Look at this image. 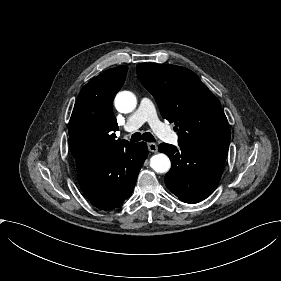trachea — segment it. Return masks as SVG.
Instances as JSON below:
<instances>
[{
	"mask_svg": "<svg viewBox=\"0 0 281 281\" xmlns=\"http://www.w3.org/2000/svg\"><path fill=\"white\" fill-rule=\"evenodd\" d=\"M140 140H144L150 143L155 142V138L150 132L143 133L142 135L141 133L136 132L131 136V142H138Z\"/></svg>",
	"mask_w": 281,
	"mask_h": 281,
	"instance_id": "3493384b",
	"label": "trachea"
}]
</instances>
